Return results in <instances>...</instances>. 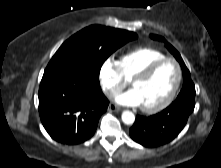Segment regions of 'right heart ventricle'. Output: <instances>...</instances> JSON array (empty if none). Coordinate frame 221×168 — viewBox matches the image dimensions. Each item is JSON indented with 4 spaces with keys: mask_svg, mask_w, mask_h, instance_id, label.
Here are the masks:
<instances>
[{
    "mask_svg": "<svg viewBox=\"0 0 221 168\" xmlns=\"http://www.w3.org/2000/svg\"><path fill=\"white\" fill-rule=\"evenodd\" d=\"M166 57L164 53L153 48H138L123 54L119 64L124 77L131 80L152 62Z\"/></svg>",
    "mask_w": 221,
    "mask_h": 168,
    "instance_id": "e07e8e85",
    "label": "right heart ventricle"
}]
</instances>
